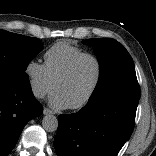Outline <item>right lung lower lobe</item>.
Listing matches in <instances>:
<instances>
[{
  "instance_id": "98d812e1",
  "label": "right lung lower lobe",
  "mask_w": 156,
  "mask_h": 156,
  "mask_svg": "<svg viewBox=\"0 0 156 156\" xmlns=\"http://www.w3.org/2000/svg\"><path fill=\"white\" fill-rule=\"evenodd\" d=\"M42 111L29 83L0 79V156L8 155L26 123Z\"/></svg>"
}]
</instances>
